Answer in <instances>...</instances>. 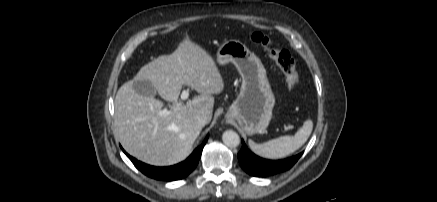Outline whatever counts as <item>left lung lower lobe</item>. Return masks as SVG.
<instances>
[{"label":"left lung lower lobe","instance_id":"1","mask_svg":"<svg viewBox=\"0 0 437 202\" xmlns=\"http://www.w3.org/2000/svg\"><path fill=\"white\" fill-rule=\"evenodd\" d=\"M303 153L283 160H266L252 153L242 140V148L238 153L240 166L249 175L265 177L290 169Z\"/></svg>","mask_w":437,"mask_h":202}]
</instances>
